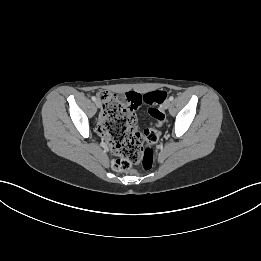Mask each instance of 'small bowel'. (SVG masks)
Here are the masks:
<instances>
[{"instance_id": "obj_1", "label": "small bowel", "mask_w": 261, "mask_h": 261, "mask_svg": "<svg viewBox=\"0 0 261 261\" xmlns=\"http://www.w3.org/2000/svg\"><path fill=\"white\" fill-rule=\"evenodd\" d=\"M127 96H128V94H127ZM135 110L133 111L134 122H135ZM102 114H103V112H102ZM142 134H145V131H142Z\"/></svg>"}]
</instances>
